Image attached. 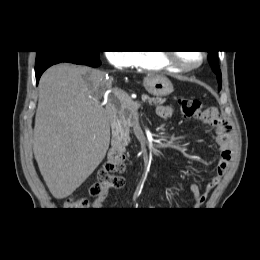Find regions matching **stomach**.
<instances>
[{"mask_svg":"<svg viewBox=\"0 0 260 260\" xmlns=\"http://www.w3.org/2000/svg\"><path fill=\"white\" fill-rule=\"evenodd\" d=\"M143 86L148 93L156 97H165L174 91L171 81L163 75L156 77H145Z\"/></svg>","mask_w":260,"mask_h":260,"instance_id":"0dacf381","label":"stomach"}]
</instances>
